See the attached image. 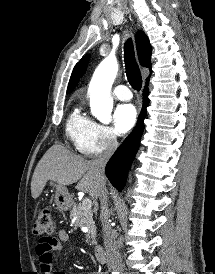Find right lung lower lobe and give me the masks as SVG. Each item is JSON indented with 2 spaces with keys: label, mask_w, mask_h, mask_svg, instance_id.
Listing matches in <instances>:
<instances>
[{
  "label": "right lung lower lobe",
  "mask_w": 215,
  "mask_h": 274,
  "mask_svg": "<svg viewBox=\"0 0 215 274\" xmlns=\"http://www.w3.org/2000/svg\"><path fill=\"white\" fill-rule=\"evenodd\" d=\"M148 93V87L146 86L143 94V108L134 130L124 140L106 165V176L119 191L124 187L128 170L139 148L140 139L144 131L143 120L146 116V107L149 103Z\"/></svg>",
  "instance_id": "1"
}]
</instances>
